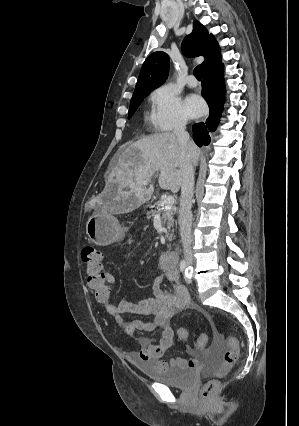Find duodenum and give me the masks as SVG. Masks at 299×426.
I'll use <instances>...</instances> for the list:
<instances>
[{
	"label": "duodenum",
	"mask_w": 299,
	"mask_h": 426,
	"mask_svg": "<svg viewBox=\"0 0 299 426\" xmlns=\"http://www.w3.org/2000/svg\"><path fill=\"white\" fill-rule=\"evenodd\" d=\"M178 260V254L174 250L165 251L160 258V262L162 266H171L175 265Z\"/></svg>",
	"instance_id": "duodenum-1"
}]
</instances>
